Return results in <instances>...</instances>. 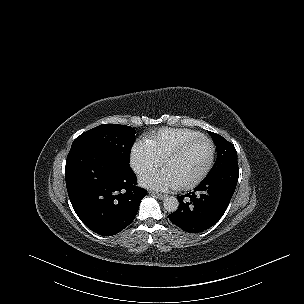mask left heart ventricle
<instances>
[{
	"instance_id": "obj_1",
	"label": "left heart ventricle",
	"mask_w": 304,
	"mask_h": 304,
	"mask_svg": "<svg viewBox=\"0 0 304 304\" xmlns=\"http://www.w3.org/2000/svg\"><path fill=\"white\" fill-rule=\"evenodd\" d=\"M209 151V144L200 142L170 162L167 172L177 183L188 182L204 167Z\"/></svg>"
}]
</instances>
